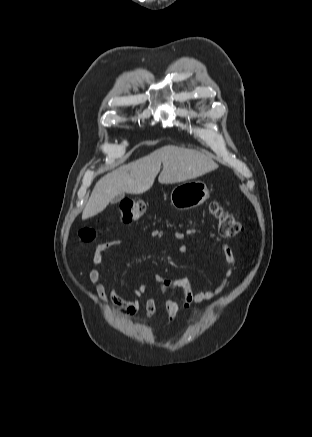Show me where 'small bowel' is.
Listing matches in <instances>:
<instances>
[{"mask_svg":"<svg viewBox=\"0 0 312 437\" xmlns=\"http://www.w3.org/2000/svg\"><path fill=\"white\" fill-rule=\"evenodd\" d=\"M197 232L198 231L195 229H189L185 233L175 231L174 237L182 241L185 235H195ZM151 235L160 238L163 236V232L155 229L151 232ZM207 237L220 249L223 255L226 265L223 276L216 287L196 292L192 289L191 282L186 277L166 278L161 275H156L155 280L160 285L161 291L164 295H168L174 290L182 291L180 297H169L165 302L167 324L172 323L176 319L180 308H183L187 310L189 314L194 315L199 311V307L197 306L199 303L209 301L220 295L228 287L230 277L237 268V262L231 248L227 244L221 242L213 233H207ZM116 244H118V242H107L96 246L92 258L93 267L89 271L88 276L90 281L95 285L96 292L101 300L105 302L112 301L116 305L117 311L121 314L132 315L139 309L138 301L124 299L114 288L106 289L99 271V267L104 261L107 250ZM184 246L185 245L182 244L181 248H184ZM147 290L148 286L142 284L134 289L133 293L135 296L139 297L146 293ZM145 312L146 319L154 317L156 313V299L154 297H150L146 300Z\"/></svg>","mask_w":312,"mask_h":437,"instance_id":"c3829d8e","label":"small bowel"}]
</instances>
